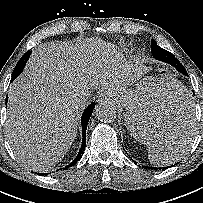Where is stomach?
Segmentation results:
<instances>
[{"mask_svg": "<svg viewBox=\"0 0 203 203\" xmlns=\"http://www.w3.org/2000/svg\"><path fill=\"white\" fill-rule=\"evenodd\" d=\"M151 82H146L145 88L142 90L143 92H138V91H124L122 93L116 94L113 98H111L113 101L122 104L126 108V124L130 120V118L133 116L135 112V108L138 104V102L141 99V94H143L146 89L149 87ZM157 119L158 115L155 113L154 115L151 116V123L152 125L157 124ZM128 127V124H127ZM138 130L136 129V132ZM145 139H148V136H145Z\"/></svg>", "mask_w": 203, "mask_h": 203, "instance_id": "obj_1", "label": "stomach"}]
</instances>
